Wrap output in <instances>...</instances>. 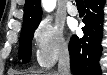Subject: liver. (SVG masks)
<instances>
[{"label":"liver","instance_id":"liver-1","mask_svg":"<svg viewBox=\"0 0 107 75\" xmlns=\"http://www.w3.org/2000/svg\"><path fill=\"white\" fill-rule=\"evenodd\" d=\"M22 75V74H21ZM24 75H41V74H39V73H31V74H24ZM44 75H58L56 72H49V73H47V74H44Z\"/></svg>","mask_w":107,"mask_h":75}]
</instances>
